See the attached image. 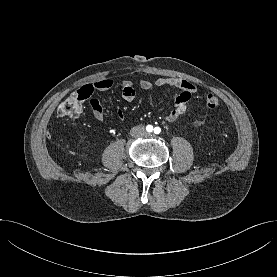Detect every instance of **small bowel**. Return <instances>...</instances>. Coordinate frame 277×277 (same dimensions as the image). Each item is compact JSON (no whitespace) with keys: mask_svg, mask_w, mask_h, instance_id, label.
<instances>
[{"mask_svg":"<svg viewBox=\"0 0 277 277\" xmlns=\"http://www.w3.org/2000/svg\"><path fill=\"white\" fill-rule=\"evenodd\" d=\"M113 84L114 82L112 79L105 78L94 83L87 84L79 90H87L90 92L91 96L94 92H104L109 90L113 86ZM139 86L143 90H161L164 87H173L180 89L181 93L175 97L172 109L165 115V119L167 121H175L179 119L185 113L191 97L197 91V87L192 82L174 77L157 78L152 81L142 79L139 81ZM121 94L122 98L127 102H131L135 99L136 89L131 81H123ZM90 104L96 119L101 122H106L107 117L104 113L102 104L99 99L92 98ZM117 118L119 120L123 118L120 109H117Z\"/></svg>","mask_w":277,"mask_h":277,"instance_id":"small-bowel-1","label":"small bowel"}]
</instances>
